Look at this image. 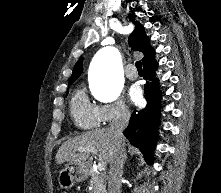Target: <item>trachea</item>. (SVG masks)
<instances>
[{
    "instance_id": "1",
    "label": "trachea",
    "mask_w": 221,
    "mask_h": 193,
    "mask_svg": "<svg viewBox=\"0 0 221 193\" xmlns=\"http://www.w3.org/2000/svg\"><path fill=\"white\" fill-rule=\"evenodd\" d=\"M135 65H136V68H137L138 72H139V73H142L143 70H142V64H141V62H140V61H137Z\"/></svg>"
}]
</instances>
